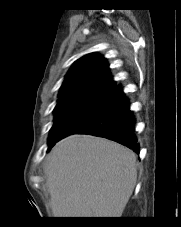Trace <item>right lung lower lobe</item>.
<instances>
[{"instance_id": "98d812e1", "label": "right lung lower lobe", "mask_w": 181, "mask_h": 227, "mask_svg": "<svg viewBox=\"0 0 181 227\" xmlns=\"http://www.w3.org/2000/svg\"><path fill=\"white\" fill-rule=\"evenodd\" d=\"M134 123L135 118L128 99L120 86H117L102 107L70 126L59 140L75 133L91 134L116 141L139 153V144L133 129ZM56 142L49 143L47 151Z\"/></svg>"}]
</instances>
